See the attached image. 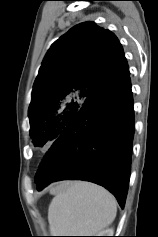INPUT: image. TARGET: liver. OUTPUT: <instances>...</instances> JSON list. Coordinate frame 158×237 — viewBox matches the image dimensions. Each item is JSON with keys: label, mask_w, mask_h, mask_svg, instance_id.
<instances>
[{"label": "liver", "mask_w": 158, "mask_h": 237, "mask_svg": "<svg viewBox=\"0 0 158 237\" xmlns=\"http://www.w3.org/2000/svg\"><path fill=\"white\" fill-rule=\"evenodd\" d=\"M65 187V185L63 184V185H61L60 187H58L56 190L57 191H60L61 189H63Z\"/></svg>", "instance_id": "liver-1"}]
</instances>
